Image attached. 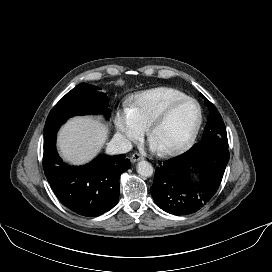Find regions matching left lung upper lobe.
Returning <instances> with one entry per match:
<instances>
[{"label":"left lung upper lobe","mask_w":272,"mask_h":272,"mask_svg":"<svg viewBox=\"0 0 272 272\" xmlns=\"http://www.w3.org/2000/svg\"><path fill=\"white\" fill-rule=\"evenodd\" d=\"M201 96L204 98L205 104L210 110V116L207 121L202 140L199 143L212 144L228 149L226 128L220 113L216 111L215 106L205 96L202 94Z\"/></svg>","instance_id":"5c2ea615"}]
</instances>
